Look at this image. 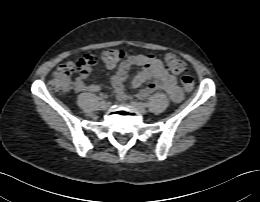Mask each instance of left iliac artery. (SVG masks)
Returning a JSON list of instances; mask_svg holds the SVG:
<instances>
[{"label": "left iliac artery", "mask_w": 260, "mask_h": 202, "mask_svg": "<svg viewBox=\"0 0 260 202\" xmlns=\"http://www.w3.org/2000/svg\"><path fill=\"white\" fill-rule=\"evenodd\" d=\"M141 104L144 105V106H147V103H145V102H142Z\"/></svg>", "instance_id": "44dca946"}]
</instances>
